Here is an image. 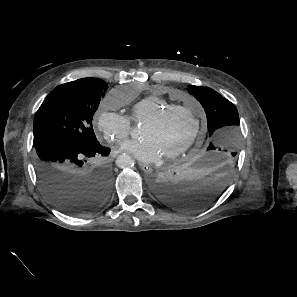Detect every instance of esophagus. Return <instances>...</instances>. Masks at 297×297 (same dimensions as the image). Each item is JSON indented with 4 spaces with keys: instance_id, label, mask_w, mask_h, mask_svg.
<instances>
[{
    "instance_id": "34e87169",
    "label": "esophagus",
    "mask_w": 297,
    "mask_h": 297,
    "mask_svg": "<svg viewBox=\"0 0 297 297\" xmlns=\"http://www.w3.org/2000/svg\"><path fill=\"white\" fill-rule=\"evenodd\" d=\"M140 168L147 174L152 173V168L150 165L144 164V163H139Z\"/></svg>"
}]
</instances>
